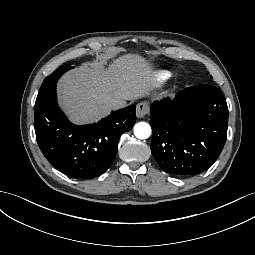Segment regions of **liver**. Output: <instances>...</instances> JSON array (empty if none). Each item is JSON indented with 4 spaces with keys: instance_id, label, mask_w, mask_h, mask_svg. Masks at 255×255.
<instances>
[{
    "instance_id": "obj_1",
    "label": "liver",
    "mask_w": 255,
    "mask_h": 255,
    "mask_svg": "<svg viewBox=\"0 0 255 255\" xmlns=\"http://www.w3.org/2000/svg\"><path fill=\"white\" fill-rule=\"evenodd\" d=\"M107 62L83 63L58 82L59 103L75 124L93 123L107 116L112 100L148 96L154 75L151 64L137 54Z\"/></svg>"
}]
</instances>
